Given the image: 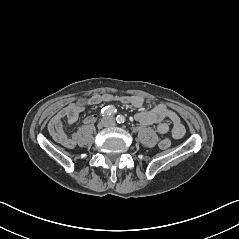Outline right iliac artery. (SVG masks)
<instances>
[{
    "label": "right iliac artery",
    "mask_w": 239,
    "mask_h": 239,
    "mask_svg": "<svg viewBox=\"0 0 239 239\" xmlns=\"http://www.w3.org/2000/svg\"><path fill=\"white\" fill-rule=\"evenodd\" d=\"M116 108L114 106H106L101 110V115L105 116V115H114L116 113Z\"/></svg>",
    "instance_id": "1"
}]
</instances>
